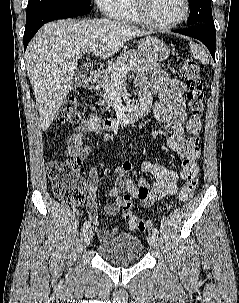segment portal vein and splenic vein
Returning <instances> with one entry per match:
<instances>
[{"label": "portal vein and splenic vein", "mask_w": 239, "mask_h": 303, "mask_svg": "<svg viewBox=\"0 0 239 303\" xmlns=\"http://www.w3.org/2000/svg\"><path fill=\"white\" fill-rule=\"evenodd\" d=\"M96 48H97V45H93L90 47L89 51L94 52L96 50ZM134 66H135V63L130 62L128 65L124 66L121 70L113 72L114 80L116 81V80L122 79L128 73V71L131 70Z\"/></svg>", "instance_id": "18ae733b"}]
</instances>
